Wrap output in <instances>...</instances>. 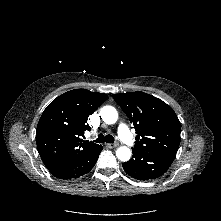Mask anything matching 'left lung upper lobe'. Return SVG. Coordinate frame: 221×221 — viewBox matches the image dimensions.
Instances as JSON below:
<instances>
[{
	"instance_id": "1",
	"label": "left lung upper lobe",
	"mask_w": 221,
	"mask_h": 221,
	"mask_svg": "<svg viewBox=\"0 0 221 221\" xmlns=\"http://www.w3.org/2000/svg\"><path fill=\"white\" fill-rule=\"evenodd\" d=\"M133 124L134 149L174 159L180 144V121L162 100L144 92L113 94Z\"/></svg>"
}]
</instances>
